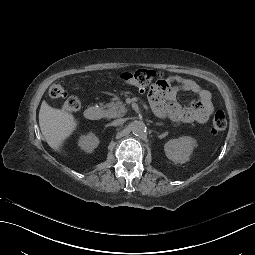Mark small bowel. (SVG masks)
<instances>
[{
  "label": "small bowel",
  "instance_id": "c3829d8e",
  "mask_svg": "<svg viewBox=\"0 0 255 255\" xmlns=\"http://www.w3.org/2000/svg\"><path fill=\"white\" fill-rule=\"evenodd\" d=\"M175 84L176 86L172 87ZM179 91L192 92L197 99L188 107H180L174 103L166 105L165 100L173 101ZM152 107L163 108L173 121L205 123L213 112L212 97L208 90L196 81L180 76H169L163 86L154 85L150 91Z\"/></svg>",
  "mask_w": 255,
  "mask_h": 255
}]
</instances>
